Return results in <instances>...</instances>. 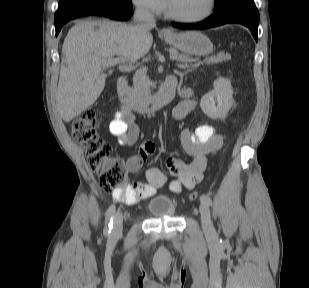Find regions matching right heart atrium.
I'll use <instances>...</instances> for the list:
<instances>
[{
	"mask_svg": "<svg viewBox=\"0 0 309 288\" xmlns=\"http://www.w3.org/2000/svg\"><path fill=\"white\" fill-rule=\"evenodd\" d=\"M132 5L140 11L156 15L163 10L162 0H130Z\"/></svg>",
	"mask_w": 309,
	"mask_h": 288,
	"instance_id": "1",
	"label": "right heart atrium"
}]
</instances>
